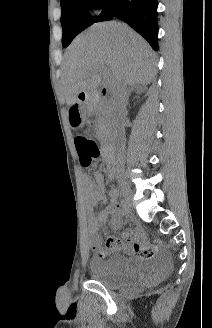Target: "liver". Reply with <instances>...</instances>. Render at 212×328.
Instances as JSON below:
<instances>
[{
  "label": "liver",
  "instance_id": "6515ba94",
  "mask_svg": "<svg viewBox=\"0 0 212 328\" xmlns=\"http://www.w3.org/2000/svg\"><path fill=\"white\" fill-rule=\"evenodd\" d=\"M110 74L105 84L115 90L126 85H147L156 75L148 43L133 29L116 21L94 24L77 36L65 53L63 76L66 102L71 105L82 93L102 83L100 68Z\"/></svg>",
  "mask_w": 212,
  "mask_h": 328
}]
</instances>
